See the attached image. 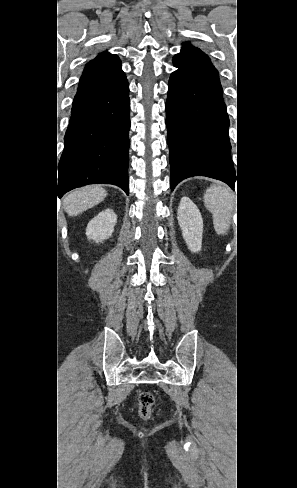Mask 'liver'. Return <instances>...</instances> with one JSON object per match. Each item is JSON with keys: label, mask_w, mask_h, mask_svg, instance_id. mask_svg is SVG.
I'll use <instances>...</instances> for the list:
<instances>
[{"label": "liver", "mask_w": 297, "mask_h": 488, "mask_svg": "<svg viewBox=\"0 0 297 488\" xmlns=\"http://www.w3.org/2000/svg\"><path fill=\"white\" fill-rule=\"evenodd\" d=\"M106 195V190L98 186L81 188L70 192L64 198L63 206L69 216H77L102 202Z\"/></svg>", "instance_id": "6515ba94"}]
</instances>
